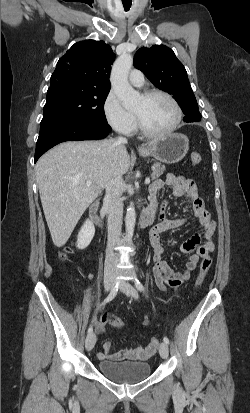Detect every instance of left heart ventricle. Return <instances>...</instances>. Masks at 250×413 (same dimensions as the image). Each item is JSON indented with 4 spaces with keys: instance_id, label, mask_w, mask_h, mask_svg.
I'll list each match as a JSON object with an SVG mask.
<instances>
[{
    "instance_id": "b2bd125f",
    "label": "left heart ventricle",
    "mask_w": 250,
    "mask_h": 413,
    "mask_svg": "<svg viewBox=\"0 0 250 413\" xmlns=\"http://www.w3.org/2000/svg\"><path fill=\"white\" fill-rule=\"evenodd\" d=\"M134 111L140 115L145 126L153 132L166 131L176 119L174 106L167 98L160 95L149 99L142 97Z\"/></svg>"
}]
</instances>
